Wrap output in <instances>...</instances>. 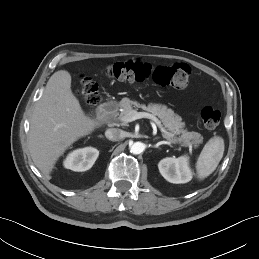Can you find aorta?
I'll return each instance as SVG.
<instances>
[{
    "mask_svg": "<svg viewBox=\"0 0 259 259\" xmlns=\"http://www.w3.org/2000/svg\"><path fill=\"white\" fill-rule=\"evenodd\" d=\"M145 145L142 142H135L130 145V152L133 154H140L144 151Z\"/></svg>",
    "mask_w": 259,
    "mask_h": 259,
    "instance_id": "aorta-1",
    "label": "aorta"
}]
</instances>
